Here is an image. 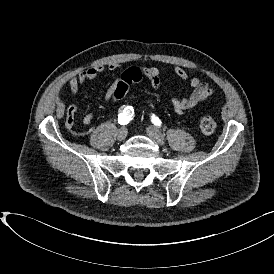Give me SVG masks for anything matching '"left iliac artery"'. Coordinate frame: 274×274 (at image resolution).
Returning a JSON list of instances; mask_svg holds the SVG:
<instances>
[{"label":"left iliac artery","instance_id":"1","mask_svg":"<svg viewBox=\"0 0 274 274\" xmlns=\"http://www.w3.org/2000/svg\"><path fill=\"white\" fill-rule=\"evenodd\" d=\"M151 121H152V123H153L154 125H156V126H158V127L161 126V121H160V119H159L157 116L152 115V116H151Z\"/></svg>","mask_w":274,"mask_h":274}]
</instances>
